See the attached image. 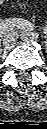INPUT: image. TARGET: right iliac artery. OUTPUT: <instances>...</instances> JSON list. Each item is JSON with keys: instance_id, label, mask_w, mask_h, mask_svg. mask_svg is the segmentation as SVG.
<instances>
[{"instance_id": "82829eb1", "label": "right iliac artery", "mask_w": 47, "mask_h": 129, "mask_svg": "<svg viewBox=\"0 0 47 129\" xmlns=\"http://www.w3.org/2000/svg\"><path fill=\"white\" fill-rule=\"evenodd\" d=\"M33 25L24 19H7L0 26L1 35L5 36L13 29L33 30Z\"/></svg>"}]
</instances>
